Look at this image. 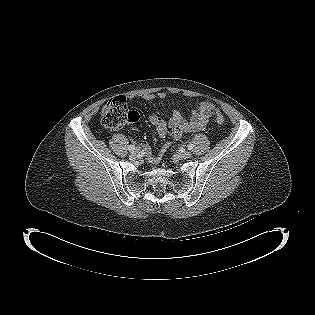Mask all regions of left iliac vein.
Instances as JSON below:
<instances>
[{"label": "left iliac vein", "instance_id": "1", "mask_svg": "<svg viewBox=\"0 0 315 315\" xmlns=\"http://www.w3.org/2000/svg\"><path fill=\"white\" fill-rule=\"evenodd\" d=\"M180 158L189 159L192 157V153L190 151H182L179 153Z\"/></svg>", "mask_w": 315, "mask_h": 315}]
</instances>
